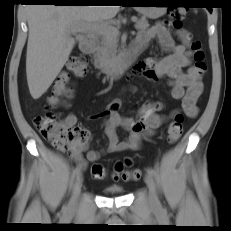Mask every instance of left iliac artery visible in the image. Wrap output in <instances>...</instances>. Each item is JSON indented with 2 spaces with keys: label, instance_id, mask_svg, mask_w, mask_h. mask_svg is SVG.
<instances>
[{
  "label": "left iliac artery",
  "instance_id": "left-iliac-artery-1",
  "mask_svg": "<svg viewBox=\"0 0 231 231\" xmlns=\"http://www.w3.org/2000/svg\"><path fill=\"white\" fill-rule=\"evenodd\" d=\"M147 172H148L149 175L156 178V176H157L156 171L152 167H148Z\"/></svg>",
  "mask_w": 231,
  "mask_h": 231
}]
</instances>
